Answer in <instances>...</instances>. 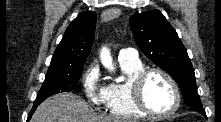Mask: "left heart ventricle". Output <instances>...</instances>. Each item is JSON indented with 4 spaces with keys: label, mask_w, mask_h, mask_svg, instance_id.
<instances>
[{
    "label": "left heart ventricle",
    "mask_w": 221,
    "mask_h": 122,
    "mask_svg": "<svg viewBox=\"0 0 221 122\" xmlns=\"http://www.w3.org/2000/svg\"><path fill=\"white\" fill-rule=\"evenodd\" d=\"M144 98L148 106L158 113L169 111L175 102L172 87L168 81L159 74H152L146 80Z\"/></svg>",
    "instance_id": "obj_1"
}]
</instances>
